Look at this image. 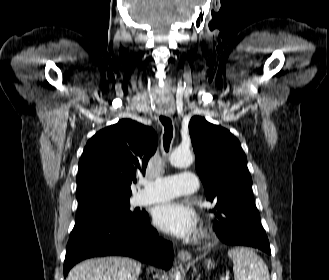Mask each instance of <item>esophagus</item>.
<instances>
[{"label":"esophagus","instance_id":"1","mask_svg":"<svg viewBox=\"0 0 329 280\" xmlns=\"http://www.w3.org/2000/svg\"><path fill=\"white\" fill-rule=\"evenodd\" d=\"M166 115H170L166 113ZM191 253L186 250H181L178 252V259L182 262H187L191 260Z\"/></svg>","mask_w":329,"mask_h":280}]
</instances>
